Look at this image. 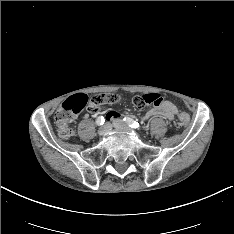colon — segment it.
<instances>
[{"label": "colon", "instance_id": "5ec220e1", "mask_svg": "<svg viewBox=\"0 0 234 234\" xmlns=\"http://www.w3.org/2000/svg\"><path fill=\"white\" fill-rule=\"evenodd\" d=\"M144 94V95H152ZM140 96V95H137ZM135 96L134 99L137 97ZM94 97L89 99L84 94H76L74 96L66 99L58 110L55 113V122L58 127V135L60 138L64 140L70 139L74 135L73 129L70 127V123L76 118L78 113L84 109L86 106L88 108V104L92 101ZM116 102V101H115ZM189 121V116L186 113H181L179 116V122L182 125L187 124Z\"/></svg>", "mask_w": 234, "mask_h": 234}]
</instances>
